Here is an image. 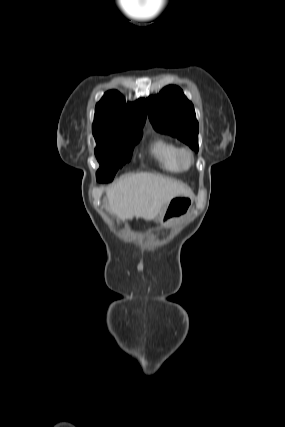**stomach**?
Masks as SVG:
<instances>
[{
    "mask_svg": "<svg viewBox=\"0 0 285 427\" xmlns=\"http://www.w3.org/2000/svg\"><path fill=\"white\" fill-rule=\"evenodd\" d=\"M192 204L193 201L189 197L177 196L173 198L161 212L162 224L169 225L173 220L187 215Z\"/></svg>",
    "mask_w": 285,
    "mask_h": 427,
    "instance_id": "0dacf381",
    "label": "stomach"
}]
</instances>
